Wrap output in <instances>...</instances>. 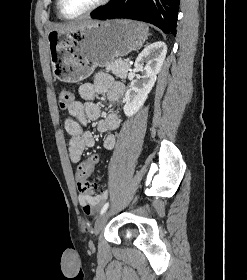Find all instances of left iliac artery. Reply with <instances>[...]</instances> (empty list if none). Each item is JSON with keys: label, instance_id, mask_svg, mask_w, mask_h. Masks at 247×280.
I'll list each match as a JSON object with an SVG mask.
<instances>
[{"label": "left iliac artery", "instance_id": "1", "mask_svg": "<svg viewBox=\"0 0 247 280\" xmlns=\"http://www.w3.org/2000/svg\"><path fill=\"white\" fill-rule=\"evenodd\" d=\"M108 206H109V202L104 204V206L102 207L101 212H100L101 215L107 210Z\"/></svg>", "mask_w": 247, "mask_h": 280}]
</instances>
